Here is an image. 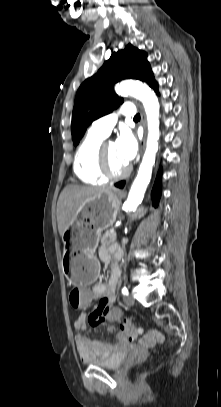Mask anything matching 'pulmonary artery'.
I'll list each match as a JSON object with an SVG mask.
<instances>
[{"mask_svg": "<svg viewBox=\"0 0 221 407\" xmlns=\"http://www.w3.org/2000/svg\"><path fill=\"white\" fill-rule=\"evenodd\" d=\"M135 114H136L135 106L131 103H125L120 108L118 113H111L95 120L92 123L90 130L106 137L110 134L111 130L115 126L119 115L133 117L135 116Z\"/></svg>", "mask_w": 221, "mask_h": 407, "instance_id": "e3ab8cb5", "label": "pulmonary artery"}]
</instances>
